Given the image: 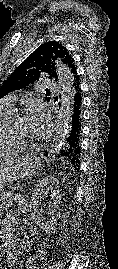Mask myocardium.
Segmentation results:
<instances>
[{"label": "myocardium", "instance_id": "1", "mask_svg": "<svg viewBox=\"0 0 118 269\" xmlns=\"http://www.w3.org/2000/svg\"><path fill=\"white\" fill-rule=\"evenodd\" d=\"M22 115L20 113H14L12 116L9 118V120L6 123V130H7V135L9 139L13 142H16L22 146L24 145H30L29 141H27L24 138L19 137L17 134H15L13 126L16 120H18Z\"/></svg>", "mask_w": 118, "mask_h": 269}]
</instances>
